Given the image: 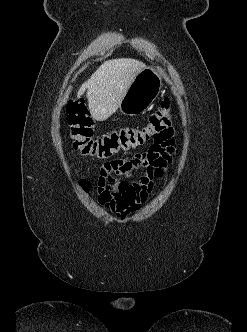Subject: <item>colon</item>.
I'll return each instance as SVG.
<instances>
[{
    "label": "colon",
    "mask_w": 247,
    "mask_h": 332,
    "mask_svg": "<svg viewBox=\"0 0 247 332\" xmlns=\"http://www.w3.org/2000/svg\"><path fill=\"white\" fill-rule=\"evenodd\" d=\"M68 122L73 147L83 156L98 159L110 158L149 142H152L151 147L167 144L173 136L171 103L167 98L143 125L112 130L102 136H94L93 119L82 100L70 104ZM81 185L87 189L88 182L83 180Z\"/></svg>",
    "instance_id": "colon-1"
}]
</instances>
